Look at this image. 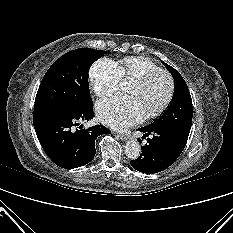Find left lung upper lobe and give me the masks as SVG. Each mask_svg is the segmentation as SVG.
Masks as SVG:
<instances>
[{"label": "left lung upper lobe", "instance_id": "5c2ea615", "mask_svg": "<svg viewBox=\"0 0 233 233\" xmlns=\"http://www.w3.org/2000/svg\"><path fill=\"white\" fill-rule=\"evenodd\" d=\"M174 78V96L168 109L159 119L145 127L164 126L188 139L192 124V99L186 82L180 73L162 61Z\"/></svg>", "mask_w": 233, "mask_h": 233}]
</instances>
